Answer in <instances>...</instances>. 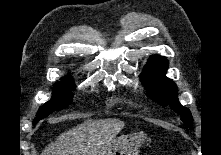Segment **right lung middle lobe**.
<instances>
[{"label":"right lung middle lobe","mask_w":221,"mask_h":155,"mask_svg":"<svg viewBox=\"0 0 221 155\" xmlns=\"http://www.w3.org/2000/svg\"><path fill=\"white\" fill-rule=\"evenodd\" d=\"M74 82L70 78H63L61 82H57L53 88V97L50 101L41 106L34 118L35 125L42 118L47 117L51 112L61 110L71 103L72 93L74 90Z\"/></svg>","instance_id":"1"}]
</instances>
